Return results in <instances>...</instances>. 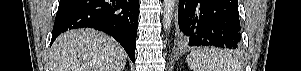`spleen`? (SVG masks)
Instances as JSON below:
<instances>
[{"label":"spleen","instance_id":"spleen-1","mask_svg":"<svg viewBox=\"0 0 301 71\" xmlns=\"http://www.w3.org/2000/svg\"><path fill=\"white\" fill-rule=\"evenodd\" d=\"M193 71H241L238 59L226 50L200 49L187 56Z\"/></svg>","mask_w":301,"mask_h":71}]
</instances>
